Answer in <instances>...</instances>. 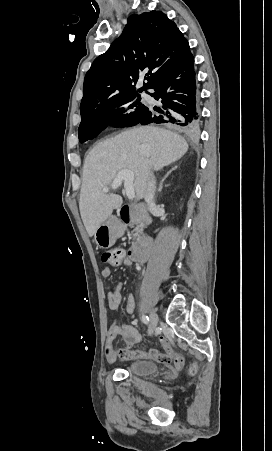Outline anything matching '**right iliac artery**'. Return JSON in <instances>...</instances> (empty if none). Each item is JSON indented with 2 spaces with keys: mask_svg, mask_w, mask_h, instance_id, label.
<instances>
[{
  "mask_svg": "<svg viewBox=\"0 0 272 451\" xmlns=\"http://www.w3.org/2000/svg\"><path fill=\"white\" fill-rule=\"evenodd\" d=\"M142 322L145 323V324L149 323V318H148L147 315H142Z\"/></svg>",
  "mask_w": 272,
  "mask_h": 451,
  "instance_id": "right-iliac-artery-1",
  "label": "right iliac artery"
}]
</instances>
